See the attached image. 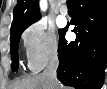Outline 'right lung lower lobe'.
Returning a JSON list of instances; mask_svg holds the SVG:
<instances>
[{"label": "right lung lower lobe", "mask_w": 107, "mask_h": 89, "mask_svg": "<svg viewBox=\"0 0 107 89\" xmlns=\"http://www.w3.org/2000/svg\"><path fill=\"white\" fill-rule=\"evenodd\" d=\"M75 41L68 43L61 29L57 78L77 89H100L107 63V0H74Z\"/></svg>", "instance_id": "obj_1"}]
</instances>
